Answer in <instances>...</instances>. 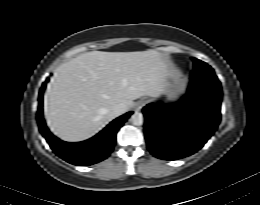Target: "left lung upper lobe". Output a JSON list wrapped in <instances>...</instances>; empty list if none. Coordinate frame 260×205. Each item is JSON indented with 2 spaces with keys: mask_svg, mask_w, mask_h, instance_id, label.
<instances>
[{
  "mask_svg": "<svg viewBox=\"0 0 260 205\" xmlns=\"http://www.w3.org/2000/svg\"><path fill=\"white\" fill-rule=\"evenodd\" d=\"M194 69L191 73L192 77H200L212 81H218L217 76L214 73V70L203 61H200L196 58H193Z\"/></svg>",
  "mask_w": 260,
  "mask_h": 205,
  "instance_id": "left-lung-upper-lobe-1",
  "label": "left lung upper lobe"
}]
</instances>
